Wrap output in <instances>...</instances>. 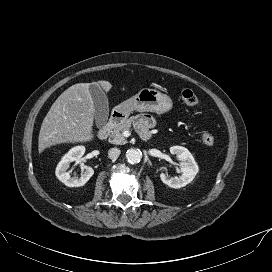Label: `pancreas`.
<instances>
[{
    "label": "pancreas",
    "mask_w": 272,
    "mask_h": 272,
    "mask_svg": "<svg viewBox=\"0 0 272 272\" xmlns=\"http://www.w3.org/2000/svg\"><path fill=\"white\" fill-rule=\"evenodd\" d=\"M138 116H132L127 120L123 121L119 125H117L114 130L110 134V142L116 145H124L127 143L126 138L123 135V132L126 130H130L132 124L136 123Z\"/></svg>",
    "instance_id": "cf45deb5"
}]
</instances>
